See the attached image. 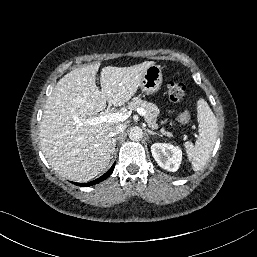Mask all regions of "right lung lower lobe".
I'll return each mask as SVG.
<instances>
[{
	"label": "right lung lower lobe",
	"instance_id": "right-lung-lower-lobe-1",
	"mask_svg": "<svg viewBox=\"0 0 257 257\" xmlns=\"http://www.w3.org/2000/svg\"><path fill=\"white\" fill-rule=\"evenodd\" d=\"M115 164L105 173L103 174L100 178H97L96 180H93L89 183H75L78 186H82V187H87V186H91L94 184H97L99 182H102L103 180L107 179L113 172Z\"/></svg>",
	"mask_w": 257,
	"mask_h": 257
}]
</instances>
